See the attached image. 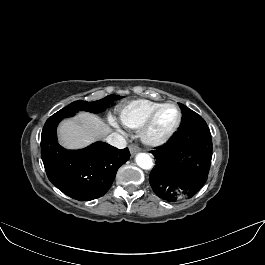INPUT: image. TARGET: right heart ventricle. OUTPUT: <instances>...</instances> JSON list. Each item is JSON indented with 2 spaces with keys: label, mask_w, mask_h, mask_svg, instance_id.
<instances>
[{
  "label": "right heart ventricle",
  "mask_w": 265,
  "mask_h": 265,
  "mask_svg": "<svg viewBox=\"0 0 265 265\" xmlns=\"http://www.w3.org/2000/svg\"><path fill=\"white\" fill-rule=\"evenodd\" d=\"M159 104L161 103L148 99H133L120 103L116 108V112L120 123L124 127L130 130H138L147 115Z\"/></svg>",
  "instance_id": "e07e8e85"
}]
</instances>
